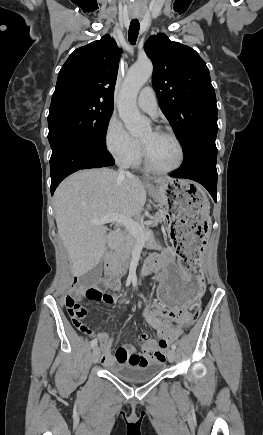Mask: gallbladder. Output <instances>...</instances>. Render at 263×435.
<instances>
[{
  "label": "gallbladder",
  "instance_id": "obj_1",
  "mask_svg": "<svg viewBox=\"0 0 263 435\" xmlns=\"http://www.w3.org/2000/svg\"><path fill=\"white\" fill-rule=\"evenodd\" d=\"M103 262L104 258H102L97 266H95L91 271L81 276L80 281L82 285L90 287L94 286L99 281L103 271Z\"/></svg>",
  "mask_w": 263,
  "mask_h": 435
}]
</instances>
